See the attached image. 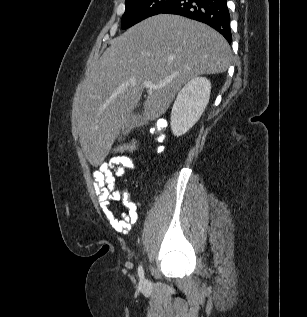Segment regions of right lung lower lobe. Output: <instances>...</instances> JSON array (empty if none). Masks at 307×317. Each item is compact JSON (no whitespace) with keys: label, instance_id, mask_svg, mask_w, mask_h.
Here are the masks:
<instances>
[{"label":"right lung lower lobe","instance_id":"obj_1","mask_svg":"<svg viewBox=\"0 0 307 317\" xmlns=\"http://www.w3.org/2000/svg\"><path fill=\"white\" fill-rule=\"evenodd\" d=\"M162 14H176L211 26L231 43L227 0H174Z\"/></svg>","mask_w":307,"mask_h":317}]
</instances>
